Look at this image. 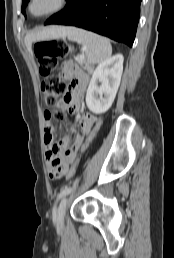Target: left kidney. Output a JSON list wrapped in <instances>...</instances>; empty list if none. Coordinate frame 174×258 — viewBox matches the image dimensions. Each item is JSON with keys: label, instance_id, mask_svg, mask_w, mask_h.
<instances>
[{"label": "left kidney", "instance_id": "1", "mask_svg": "<svg viewBox=\"0 0 174 258\" xmlns=\"http://www.w3.org/2000/svg\"><path fill=\"white\" fill-rule=\"evenodd\" d=\"M122 71L123 56L120 54L102 61L96 67L86 93V105L91 112L101 114L111 107L120 85ZM98 81L101 82L100 86L97 85Z\"/></svg>", "mask_w": 174, "mask_h": 258}]
</instances>
